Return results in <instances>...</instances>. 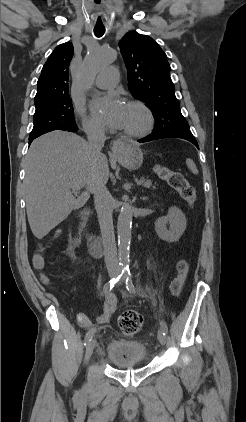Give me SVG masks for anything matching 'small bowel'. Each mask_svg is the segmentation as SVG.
Returning <instances> with one entry per match:
<instances>
[{
    "mask_svg": "<svg viewBox=\"0 0 246 422\" xmlns=\"http://www.w3.org/2000/svg\"><path fill=\"white\" fill-rule=\"evenodd\" d=\"M116 308L117 297L113 293L109 292L105 295L104 312L95 318V322L98 324H104L108 322L110 317L115 313ZM77 320L79 325L83 328H89L93 324V321L84 314H79Z\"/></svg>",
    "mask_w": 246,
    "mask_h": 422,
    "instance_id": "c3829d8e",
    "label": "small bowel"
}]
</instances>
